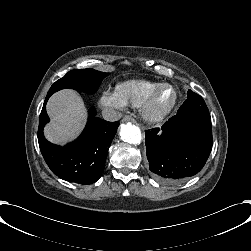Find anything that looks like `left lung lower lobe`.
<instances>
[{
	"label": "left lung lower lobe",
	"instance_id": "left-lung-lower-lobe-1",
	"mask_svg": "<svg viewBox=\"0 0 251 251\" xmlns=\"http://www.w3.org/2000/svg\"><path fill=\"white\" fill-rule=\"evenodd\" d=\"M210 114L177 113L161 129L145 132L149 169L167 184L188 180L205 165L212 149Z\"/></svg>",
	"mask_w": 251,
	"mask_h": 251
}]
</instances>
